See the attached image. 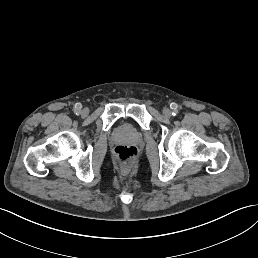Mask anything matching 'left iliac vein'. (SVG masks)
I'll list each match as a JSON object with an SVG mask.
<instances>
[{
	"label": "left iliac vein",
	"mask_w": 258,
	"mask_h": 258,
	"mask_svg": "<svg viewBox=\"0 0 258 258\" xmlns=\"http://www.w3.org/2000/svg\"><path fill=\"white\" fill-rule=\"evenodd\" d=\"M164 113H165V116H166V117H169V116H170V113H169V110H168V109H165V110H164Z\"/></svg>",
	"instance_id": "left-iliac-vein-1"
}]
</instances>
